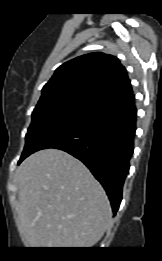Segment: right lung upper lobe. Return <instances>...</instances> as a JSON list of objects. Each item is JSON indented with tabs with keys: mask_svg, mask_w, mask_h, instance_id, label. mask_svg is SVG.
<instances>
[{
	"mask_svg": "<svg viewBox=\"0 0 162 261\" xmlns=\"http://www.w3.org/2000/svg\"><path fill=\"white\" fill-rule=\"evenodd\" d=\"M81 92L105 103L132 93L131 83L119 60L101 52L74 58L58 67L42 89V96Z\"/></svg>",
	"mask_w": 162,
	"mask_h": 261,
	"instance_id": "obj_1",
	"label": "right lung upper lobe"
}]
</instances>
